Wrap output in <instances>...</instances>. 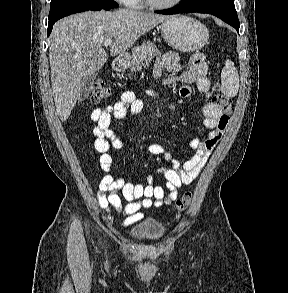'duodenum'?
Listing matches in <instances>:
<instances>
[{
    "instance_id": "obj_1",
    "label": "duodenum",
    "mask_w": 288,
    "mask_h": 293,
    "mask_svg": "<svg viewBox=\"0 0 288 293\" xmlns=\"http://www.w3.org/2000/svg\"><path fill=\"white\" fill-rule=\"evenodd\" d=\"M125 67V60L123 58H115L112 63V68L115 71H121Z\"/></svg>"
}]
</instances>
